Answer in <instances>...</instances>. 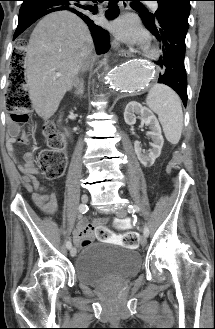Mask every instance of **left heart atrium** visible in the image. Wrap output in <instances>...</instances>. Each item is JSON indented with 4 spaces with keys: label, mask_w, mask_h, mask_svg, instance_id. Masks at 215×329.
Returning <instances> with one entry per match:
<instances>
[{
    "label": "left heart atrium",
    "mask_w": 215,
    "mask_h": 329,
    "mask_svg": "<svg viewBox=\"0 0 215 329\" xmlns=\"http://www.w3.org/2000/svg\"><path fill=\"white\" fill-rule=\"evenodd\" d=\"M111 30L115 36L127 43L145 45L148 35L140 26L138 20L131 15H126L115 20L111 24Z\"/></svg>",
    "instance_id": "obj_1"
}]
</instances>
